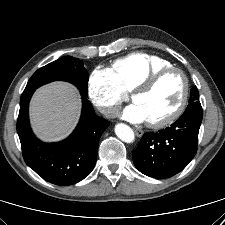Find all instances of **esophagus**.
<instances>
[{
    "mask_svg": "<svg viewBox=\"0 0 225 225\" xmlns=\"http://www.w3.org/2000/svg\"><path fill=\"white\" fill-rule=\"evenodd\" d=\"M134 132H135V134H136L137 137H142V135H143V131L140 130V129L135 128L134 129Z\"/></svg>",
    "mask_w": 225,
    "mask_h": 225,
    "instance_id": "obj_1",
    "label": "esophagus"
}]
</instances>
